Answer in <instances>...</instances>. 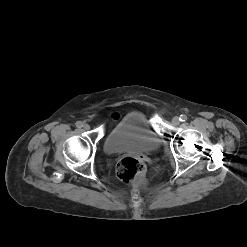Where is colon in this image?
Returning a JSON list of instances; mask_svg holds the SVG:
<instances>
[{
	"label": "colon",
	"instance_id": "colon-1",
	"mask_svg": "<svg viewBox=\"0 0 247 247\" xmlns=\"http://www.w3.org/2000/svg\"><path fill=\"white\" fill-rule=\"evenodd\" d=\"M117 177L125 183L143 184L145 181V165L137 157H125L116 167Z\"/></svg>",
	"mask_w": 247,
	"mask_h": 247
}]
</instances>
